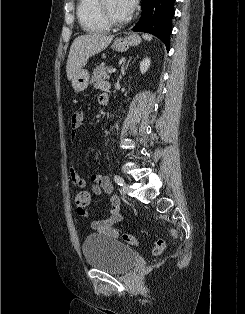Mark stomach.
<instances>
[{
	"instance_id": "stomach-1",
	"label": "stomach",
	"mask_w": 245,
	"mask_h": 314,
	"mask_svg": "<svg viewBox=\"0 0 245 314\" xmlns=\"http://www.w3.org/2000/svg\"><path fill=\"white\" fill-rule=\"evenodd\" d=\"M141 38L138 35L131 34L125 38L117 39L112 48L118 52H125L130 46L140 44ZM89 72L86 69H80L72 79V87L76 92H82L87 89L89 84Z\"/></svg>"
}]
</instances>
